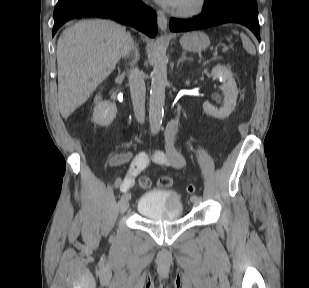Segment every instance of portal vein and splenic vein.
<instances>
[{"label": "portal vein and splenic vein", "mask_w": 309, "mask_h": 288, "mask_svg": "<svg viewBox=\"0 0 309 288\" xmlns=\"http://www.w3.org/2000/svg\"><path fill=\"white\" fill-rule=\"evenodd\" d=\"M229 48L227 46L223 47L222 52H227Z\"/></svg>", "instance_id": "18ae733b"}]
</instances>
